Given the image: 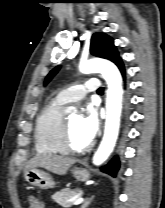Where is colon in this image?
Instances as JSON below:
<instances>
[{"label": "colon", "instance_id": "5ec220e1", "mask_svg": "<svg viewBox=\"0 0 165 208\" xmlns=\"http://www.w3.org/2000/svg\"><path fill=\"white\" fill-rule=\"evenodd\" d=\"M27 203L29 208H42V204L39 197L35 195L28 196Z\"/></svg>", "mask_w": 165, "mask_h": 208}]
</instances>
